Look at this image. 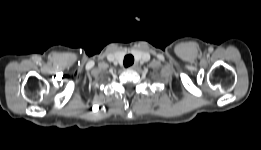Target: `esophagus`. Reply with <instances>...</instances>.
<instances>
[{
  "label": "esophagus",
  "instance_id": "esophagus-1",
  "mask_svg": "<svg viewBox=\"0 0 261 150\" xmlns=\"http://www.w3.org/2000/svg\"><path fill=\"white\" fill-rule=\"evenodd\" d=\"M136 66H137L136 64H133V65H131L129 68H130V69H135Z\"/></svg>",
  "mask_w": 261,
  "mask_h": 150
}]
</instances>
